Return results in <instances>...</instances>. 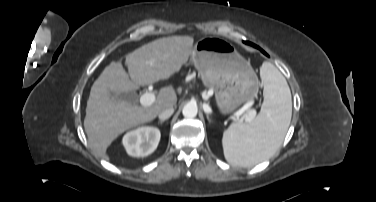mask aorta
<instances>
[{
  "mask_svg": "<svg viewBox=\"0 0 376 202\" xmlns=\"http://www.w3.org/2000/svg\"><path fill=\"white\" fill-rule=\"evenodd\" d=\"M198 113V107L195 103H187L182 109V114L186 118H194Z\"/></svg>",
  "mask_w": 376,
  "mask_h": 202,
  "instance_id": "1",
  "label": "aorta"
}]
</instances>
